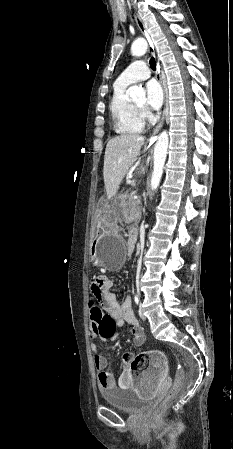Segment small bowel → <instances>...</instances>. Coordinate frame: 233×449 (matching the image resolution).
<instances>
[{"mask_svg":"<svg viewBox=\"0 0 233 449\" xmlns=\"http://www.w3.org/2000/svg\"><path fill=\"white\" fill-rule=\"evenodd\" d=\"M114 281L111 274H95L90 283V290L94 296L93 301H100L102 307H107V314L113 320L115 326H122L125 323L130 326L135 346H141L145 342V332L138 323L132 310V299L130 295H125L122 302H119L116 294L112 291ZM91 328V338L95 340L98 334H93ZM116 338H105L104 340L114 341ZM91 350L94 354V365L98 373V384L101 389H109L116 384L115 376L107 370V359L99 351L95 342L91 343ZM132 354L127 353L125 357ZM123 358V359H124ZM168 376V365L166 354H160L158 347L149 349L148 368H143L142 375H129L125 370L118 379V383L130 384V389L135 390L138 399H157V394H161L163 377Z\"/></svg>","mask_w":233,"mask_h":449,"instance_id":"obj_1","label":"small bowel"}]
</instances>
